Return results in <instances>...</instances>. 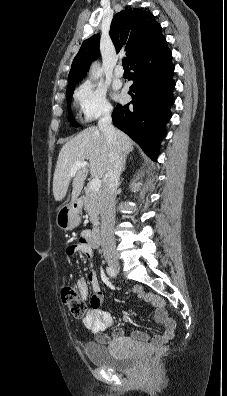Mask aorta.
Segmentation results:
<instances>
[{
  "label": "aorta",
  "instance_id": "1",
  "mask_svg": "<svg viewBox=\"0 0 227 396\" xmlns=\"http://www.w3.org/2000/svg\"><path fill=\"white\" fill-rule=\"evenodd\" d=\"M102 74V71L99 67V64L97 62L93 63L90 69V78L92 80L98 79Z\"/></svg>",
  "mask_w": 227,
  "mask_h": 396
}]
</instances>
